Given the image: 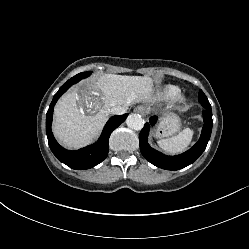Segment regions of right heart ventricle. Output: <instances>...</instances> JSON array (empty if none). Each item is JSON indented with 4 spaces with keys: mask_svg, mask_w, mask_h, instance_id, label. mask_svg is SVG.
Segmentation results:
<instances>
[{
    "mask_svg": "<svg viewBox=\"0 0 249 249\" xmlns=\"http://www.w3.org/2000/svg\"><path fill=\"white\" fill-rule=\"evenodd\" d=\"M180 94L178 87L173 85H168L161 89L158 93V97L164 101H171L176 99Z\"/></svg>",
    "mask_w": 249,
    "mask_h": 249,
    "instance_id": "1",
    "label": "right heart ventricle"
}]
</instances>
